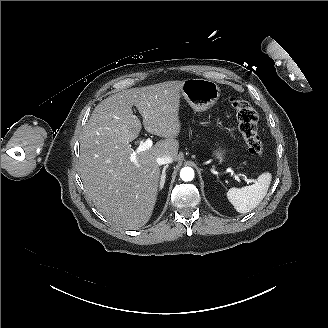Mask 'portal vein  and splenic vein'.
<instances>
[{"mask_svg": "<svg viewBox=\"0 0 328 328\" xmlns=\"http://www.w3.org/2000/svg\"><path fill=\"white\" fill-rule=\"evenodd\" d=\"M152 145H153V141H152L150 138L146 139L145 142H141V143L139 144V146L136 148V152H134V153L131 155L130 160H131L132 162H134V164H135L136 166L139 167V164H138V162H137V160H136V153H139V152L145 151V150L151 148ZM241 178H244V180H247V184L250 183V182H252V183H256V180H254V179H248V177H244V175H241ZM235 179H236L237 181H240L239 177L236 176V175H235Z\"/></svg>", "mask_w": 328, "mask_h": 328, "instance_id": "1", "label": "portal vein and splenic vein"}]
</instances>
